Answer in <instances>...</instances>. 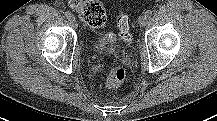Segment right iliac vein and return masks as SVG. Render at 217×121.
I'll return each instance as SVG.
<instances>
[{"label":"right iliac vein","instance_id":"63e3f726","mask_svg":"<svg viewBox=\"0 0 217 121\" xmlns=\"http://www.w3.org/2000/svg\"><path fill=\"white\" fill-rule=\"evenodd\" d=\"M71 24H72V26H73L74 28H77V27H78V23H77V21H76L75 19H72V20H71Z\"/></svg>","mask_w":217,"mask_h":121}]
</instances>
